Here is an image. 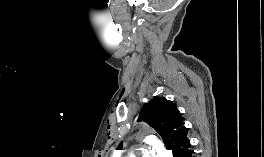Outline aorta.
<instances>
[{
  "label": "aorta",
  "instance_id": "obj_1",
  "mask_svg": "<svg viewBox=\"0 0 264 157\" xmlns=\"http://www.w3.org/2000/svg\"><path fill=\"white\" fill-rule=\"evenodd\" d=\"M146 142L157 150V157H171V153L164 148L163 144L156 137L149 136L146 138Z\"/></svg>",
  "mask_w": 264,
  "mask_h": 157
}]
</instances>
